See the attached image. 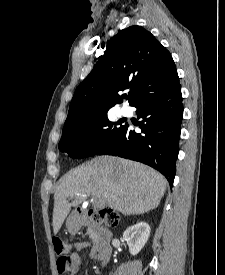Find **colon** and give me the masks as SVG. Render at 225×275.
I'll use <instances>...</instances> for the list:
<instances>
[{
    "label": "colon",
    "instance_id": "obj_1",
    "mask_svg": "<svg viewBox=\"0 0 225 275\" xmlns=\"http://www.w3.org/2000/svg\"><path fill=\"white\" fill-rule=\"evenodd\" d=\"M94 220L105 227H115L118 225L119 215L114 211L104 209L98 211L95 214ZM52 243L54 251L58 255V272L60 273V275H66L67 273H70V262L68 260L67 254L71 249V244L68 241L60 238H54Z\"/></svg>",
    "mask_w": 225,
    "mask_h": 275
}]
</instances>
